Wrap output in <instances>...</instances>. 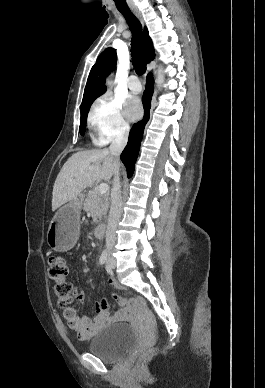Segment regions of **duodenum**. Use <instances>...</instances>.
Returning a JSON list of instances; mask_svg holds the SVG:
<instances>
[{"label":"duodenum","instance_id":"duodenum-1","mask_svg":"<svg viewBox=\"0 0 265 388\" xmlns=\"http://www.w3.org/2000/svg\"><path fill=\"white\" fill-rule=\"evenodd\" d=\"M105 231H106V224L105 223H100L99 225H97V227L95 229L96 237L102 238L104 236V234H105Z\"/></svg>","mask_w":265,"mask_h":388}]
</instances>
